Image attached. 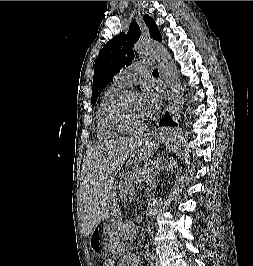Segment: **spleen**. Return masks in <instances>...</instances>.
I'll list each match as a JSON object with an SVG mask.
<instances>
[{"instance_id": "obj_1", "label": "spleen", "mask_w": 253, "mask_h": 266, "mask_svg": "<svg viewBox=\"0 0 253 266\" xmlns=\"http://www.w3.org/2000/svg\"><path fill=\"white\" fill-rule=\"evenodd\" d=\"M173 144H174V146H176V148H175L176 153H178V154L183 153L184 148H183V146H181V144H182L181 139H179V138L174 139ZM177 162H178L177 157H175V156L170 157L169 160L165 161L164 165L160 166V168H159L160 173L165 174V173H167L168 169L177 168V166H178Z\"/></svg>"}]
</instances>
